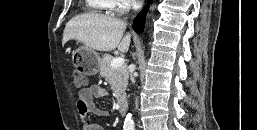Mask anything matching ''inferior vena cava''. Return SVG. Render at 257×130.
<instances>
[{"label":"inferior vena cava","mask_w":257,"mask_h":130,"mask_svg":"<svg viewBox=\"0 0 257 130\" xmlns=\"http://www.w3.org/2000/svg\"><path fill=\"white\" fill-rule=\"evenodd\" d=\"M138 6H139V5L136 4V3L133 4V8H137ZM131 81H132V83H135V79H134L133 74H131Z\"/></svg>","instance_id":"1"}]
</instances>
